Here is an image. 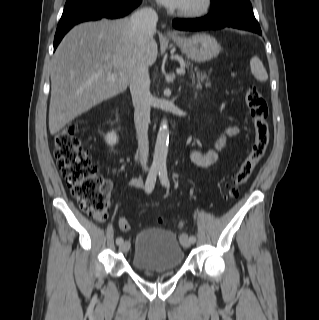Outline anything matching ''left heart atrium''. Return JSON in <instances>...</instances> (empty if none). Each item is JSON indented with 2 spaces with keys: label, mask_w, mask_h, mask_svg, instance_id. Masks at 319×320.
<instances>
[{
  "label": "left heart atrium",
  "mask_w": 319,
  "mask_h": 320,
  "mask_svg": "<svg viewBox=\"0 0 319 320\" xmlns=\"http://www.w3.org/2000/svg\"><path fill=\"white\" fill-rule=\"evenodd\" d=\"M165 6L171 9H183L190 0H159Z\"/></svg>",
  "instance_id": "left-heart-atrium-1"
}]
</instances>
